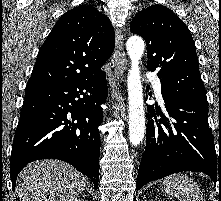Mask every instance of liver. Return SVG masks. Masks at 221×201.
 I'll use <instances>...</instances> for the list:
<instances>
[{
	"label": "liver",
	"mask_w": 221,
	"mask_h": 201,
	"mask_svg": "<svg viewBox=\"0 0 221 201\" xmlns=\"http://www.w3.org/2000/svg\"><path fill=\"white\" fill-rule=\"evenodd\" d=\"M17 181L20 201H67L81 194L88 184L74 167L52 159L28 164Z\"/></svg>",
	"instance_id": "liver-1"
}]
</instances>
